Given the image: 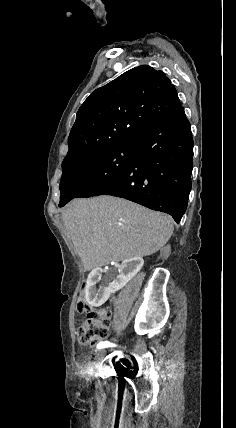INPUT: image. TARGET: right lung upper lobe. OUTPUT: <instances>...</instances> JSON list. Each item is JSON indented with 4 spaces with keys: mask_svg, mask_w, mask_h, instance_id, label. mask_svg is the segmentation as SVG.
<instances>
[{
    "mask_svg": "<svg viewBox=\"0 0 236 428\" xmlns=\"http://www.w3.org/2000/svg\"><path fill=\"white\" fill-rule=\"evenodd\" d=\"M181 107L162 71L135 67L96 89L81 105L62 169L119 142L136 139Z\"/></svg>",
    "mask_w": 236,
    "mask_h": 428,
    "instance_id": "cb5924a9",
    "label": "right lung upper lobe"
}]
</instances>
